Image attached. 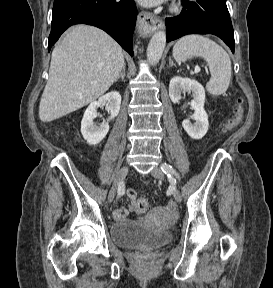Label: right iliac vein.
Segmentation results:
<instances>
[{
  "instance_id": "1",
  "label": "right iliac vein",
  "mask_w": 273,
  "mask_h": 288,
  "mask_svg": "<svg viewBox=\"0 0 273 288\" xmlns=\"http://www.w3.org/2000/svg\"><path fill=\"white\" fill-rule=\"evenodd\" d=\"M128 172H129V166H127V165L123 166L119 170L116 178L114 179L113 185H112L111 190H110L109 195H108V200L110 203L113 202L115 195H116V191L121 186V184H122L123 180L125 179V177L127 176Z\"/></svg>"
}]
</instances>
